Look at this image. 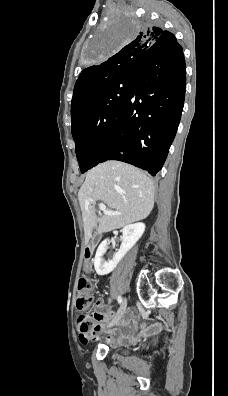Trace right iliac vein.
<instances>
[{
	"label": "right iliac vein",
	"instance_id": "obj_1",
	"mask_svg": "<svg viewBox=\"0 0 228 396\" xmlns=\"http://www.w3.org/2000/svg\"><path fill=\"white\" fill-rule=\"evenodd\" d=\"M126 307H127V298H124L116 317L113 319V321L109 324L108 327L114 326L122 318V316L125 313Z\"/></svg>",
	"mask_w": 228,
	"mask_h": 396
}]
</instances>
